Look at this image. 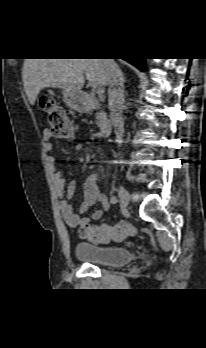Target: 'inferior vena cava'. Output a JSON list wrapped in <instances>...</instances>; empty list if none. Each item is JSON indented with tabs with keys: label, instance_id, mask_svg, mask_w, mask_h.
<instances>
[{
	"label": "inferior vena cava",
	"instance_id": "1",
	"mask_svg": "<svg viewBox=\"0 0 206 348\" xmlns=\"http://www.w3.org/2000/svg\"><path fill=\"white\" fill-rule=\"evenodd\" d=\"M107 70L108 107L110 118L115 129L117 142H122L124 132L123 103H124V79L121 69L114 59H103Z\"/></svg>",
	"mask_w": 206,
	"mask_h": 348
}]
</instances>
